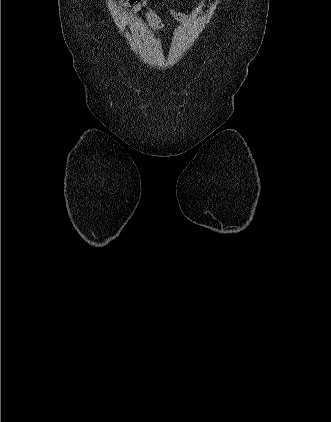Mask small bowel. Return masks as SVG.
<instances>
[{
	"label": "small bowel",
	"instance_id": "small-bowel-1",
	"mask_svg": "<svg viewBox=\"0 0 331 422\" xmlns=\"http://www.w3.org/2000/svg\"><path fill=\"white\" fill-rule=\"evenodd\" d=\"M114 2L129 8L126 15H135L144 11L148 23L152 27L153 31L166 30L168 28V26L160 20L155 10L147 5V0H114ZM160 5L163 6L173 16V18L180 23L186 24L188 22L187 14L174 10L165 0H160Z\"/></svg>",
	"mask_w": 331,
	"mask_h": 422
}]
</instances>
